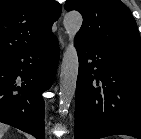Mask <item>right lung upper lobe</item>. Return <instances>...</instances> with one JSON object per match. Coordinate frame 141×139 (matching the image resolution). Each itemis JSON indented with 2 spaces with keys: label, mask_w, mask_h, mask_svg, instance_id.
Wrapping results in <instances>:
<instances>
[{
  "label": "right lung upper lobe",
  "mask_w": 141,
  "mask_h": 139,
  "mask_svg": "<svg viewBox=\"0 0 141 139\" xmlns=\"http://www.w3.org/2000/svg\"><path fill=\"white\" fill-rule=\"evenodd\" d=\"M60 13L55 0H0V56L50 39Z\"/></svg>",
  "instance_id": "cb5924a9"
}]
</instances>
